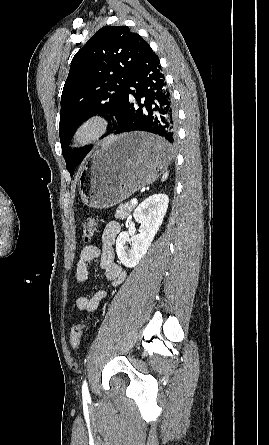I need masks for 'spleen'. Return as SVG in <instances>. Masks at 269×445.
I'll return each instance as SVG.
<instances>
[{
    "label": "spleen",
    "mask_w": 269,
    "mask_h": 445,
    "mask_svg": "<svg viewBox=\"0 0 269 445\" xmlns=\"http://www.w3.org/2000/svg\"><path fill=\"white\" fill-rule=\"evenodd\" d=\"M168 171H166L165 173H164V175L162 176V181H165L166 179H167V177H168Z\"/></svg>",
    "instance_id": "spleen-1"
}]
</instances>
